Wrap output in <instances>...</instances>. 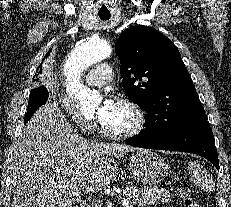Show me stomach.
<instances>
[{"instance_id":"stomach-1","label":"stomach","mask_w":231,"mask_h":207,"mask_svg":"<svg viewBox=\"0 0 231 207\" xmlns=\"http://www.w3.org/2000/svg\"><path fill=\"white\" fill-rule=\"evenodd\" d=\"M129 165L137 180L147 185L160 183L169 171L166 161L149 149L138 150L131 156Z\"/></svg>"}]
</instances>
